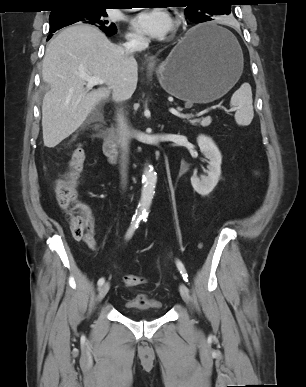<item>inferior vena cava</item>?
<instances>
[{
	"instance_id": "inferior-vena-cava-1",
	"label": "inferior vena cava",
	"mask_w": 306,
	"mask_h": 387,
	"mask_svg": "<svg viewBox=\"0 0 306 387\" xmlns=\"http://www.w3.org/2000/svg\"><path fill=\"white\" fill-rule=\"evenodd\" d=\"M123 46L127 54L133 55L135 52L142 51L148 47V39L142 36H132ZM132 94L133 90L124 85L115 92L114 99L117 102H124L128 100ZM117 122L119 131V142L122 150L124 152H127L128 143L130 139L129 128L122 114H118ZM124 156L125 154L123 153V160L125 159Z\"/></svg>"
}]
</instances>
